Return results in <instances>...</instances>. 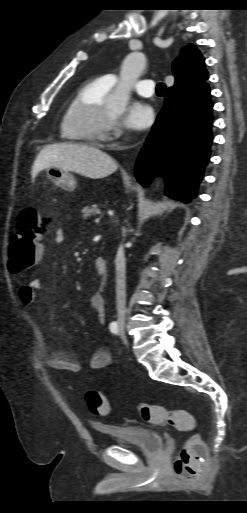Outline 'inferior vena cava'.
Returning <instances> with one entry per match:
<instances>
[{
  "label": "inferior vena cava",
  "instance_id": "obj_1",
  "mask_svg": "<svg viewBox=\"0 0 247 513\" xmlns=\"http://www.w3.org/2000/svg\"><path fill=\"white\" fill-rule=\"evenodd\" d=\"M116 302L119 318L125 315V255L123 246H119L116 255Z\"/></svg>",
  "mask_w": 247,
  "mask_h": 513
}]
</instances>
